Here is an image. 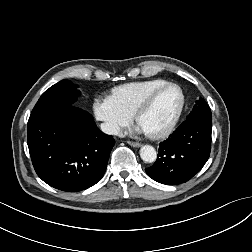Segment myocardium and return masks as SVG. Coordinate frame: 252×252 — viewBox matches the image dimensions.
Returning <instances> with one entry per match:
<instances>
[{
  "instance_id": "obj_1",
  "label": "myocardium",
  "mask_w": 252,
  "mask_h": 252,
  "mask_svg": "<svg viewBox=\"0 0 252 252\" xmlns=\"http://www.w3.org/2000/svg\"><path fill=\"white\" fill-rule=\"evenodd\" d=\"M168 87H176L177 89H179L180 93H181V103L180 106L175 114V116L173 117L172 121L170 122V124L165 127L164 129L157 131V132H149L150 137L155 138V139H160V138H164L167 137L168 135H170L175 127L177 126L183 112L185 109V105H186V95L185 92L183 90V88L175 82H166L156 88H154L152 91H150L147 96L141 101V103L137 106L135 112H134V117L135 120L137 122H139L142 114L150 108V106L152 105L154 99L156 98V96L164 89L168 88Z\"/></svg>"
}]
</instances>
